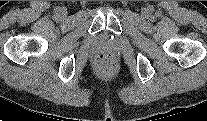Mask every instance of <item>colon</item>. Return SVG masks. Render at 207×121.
Returning <instances> with one entry per match:
<instances>
[{
  "label": "colon",
  "instance_id": "obj_1",
  "mask_svg": "<svg viewBox=\"0 0 207 121\" xmlns=\"http://www.w3.org/2000/svg\"><path fill=\"white\" fill-rule=\"evenodd\" d=\"M95 65L99 72L110 73L116 67V59L113 54L109 52H103L97 55L95 59Z\"/></svg>",
  "mask_w": 207,
  "mask_h": 121
}]
</instances>
